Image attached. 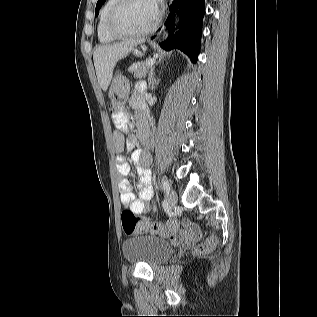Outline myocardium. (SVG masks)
I'll use <instances>...</instances> for the list:
<instances>
[{
  "label": "myocardium",
  "mask_w": 317,
  "mask_h": 317,
  "mask_svg": "<svg viewBox=\"0 0 317 317\" xmlns=\"http://www.w3.org/2000/svg\"><path fill=\"white\" fill-rule=\"evenodd\" d=\"M127 2V0H116L115 4L112 6L108 18H107V30L115 38H135L142 37L150 34L158 26L161 19V10L156 4V15L151 22V24L143 30L137 32H124L120 31L115 26L116 17L122 8V6ZM154 2V1H153Z\"/></svg>",
  "instance_id": "obj_1"
}]
</instances>
